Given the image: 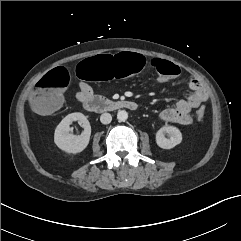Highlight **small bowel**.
Segmentation results:
<instances>
[{"mask_svg":"<svg viewBox=\"0 0 241 241\" xmlns=\"http://www.w3.org/2000/svg\"><path fill=\"white\" fill-rule=\"evenodd\" d=\"M158 81L161 82L159 79ZM189 88L192 93L187 98L180 99L174 106L165 108L160 112V118L162 120L181 125H190L192 123L193 120L190 112L193 109L200 107L202 103L207 100L208 94L205 86L197 78L190 79ZM93 96L94 93L90 85L85 82H81L76 93L78 101L84 102Z\"/></svg>","mask_w":241,"mask_h":241,"instance_id":"small-bowel-1","label":"small bowel"}]
</instances>
